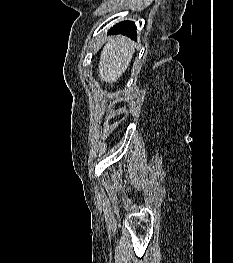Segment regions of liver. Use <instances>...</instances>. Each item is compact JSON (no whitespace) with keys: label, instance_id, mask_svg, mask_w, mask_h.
I'll list each match as a JSON object with an SVG mask.
<instances>
[{"label":"liver","instance_id":"obj_1","mask_svg":"<svg viewBox=\"0 0 233 263\" xmlns=\"http://www.w3.org/2000/svg\"><path fill=\"white\" fill-rule=\"evenodd\" d=\"M134 42L123 36L107 39L98 65L99 78L102 82L112 84L128 68L134 54Z\"/></svg>","mask_w":233,"mask_h":263}]
</instances>
